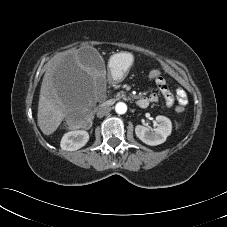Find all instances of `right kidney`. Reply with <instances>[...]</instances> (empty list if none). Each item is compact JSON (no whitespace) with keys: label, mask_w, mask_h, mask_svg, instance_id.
Instances as JSON below:
<instances>
[{"label":"right kidney","mask_w":227,"mask_h":227,"mask_svg":"<svg viewBox=\"0 0 227 227\" xmlns=\"http://www.w3.org/2000/svg\"><path fill=\"white\" fill-rule=\"evenodd\" d=\"M88 140L89 134L87 131L84 130L70 131L63 135L60 146L63 150L66 151H75L85 146Z\"/></svg>","instance_id":"1"}]
</instances>
